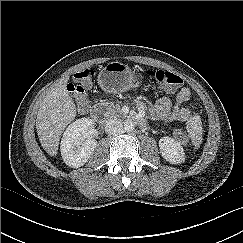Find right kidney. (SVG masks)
<instances>
[{"label":"right kidney","instance_id":"right-kidney-1","mask_svg":"<svg viewBox=\"0 0 243 243\" xmlns=\"http://www.w3.org/2000/svg\"><path fill=\"white\" fill-rule=\"evenodd\" d=\"M94 121L81 118L72 122L64 131L61 139V156L72 168L83 166L93 154L97 141L90 137Z\"/></svg>","mask_w":243,"mask_h":243}]
</instances>
